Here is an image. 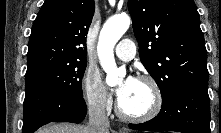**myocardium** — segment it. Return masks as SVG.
Instances as JSON below:
<instances>
[{
  "mask_svg": "<svg viewBox=\"0 0 221 133\" xmlns=\"http://www.w3.org/2000/svg\"><path fill=\"white\" fill-rule=\"evenodd\" d=\"M137 80L149 85L153 98L151 107L142 114H129L123 110L121 102L118 100L116 112L117 115L125 121L146 122L155 118L160 113L163 106V95L159 84L154 78L150 76H139Z\"/></svg>",
  "mask_w": 221,
  "mask_h": 133,
  "instance_id": "obj_1",
  "label": "myocardium"
}]
</instances>
